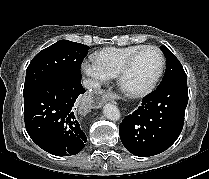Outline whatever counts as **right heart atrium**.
Instances as JSON below:
<instances>
[{
    "instance_id": "right-heart-atrium-1",
    "label": "right heart atrium",
    "mask_w": 209,
    "mask_h": 179,
    "mask_svg": "<svg viewBox=\"0 0 209 179\" xmlns=\"http://www.w3.org/2000/svg\"><path fill=\"white\" fill-rule=\"evenodd\" d=\"M84 73L93 79L96 84H101L107 81V77L97 68L94 63L84 62L82 64Z\"/></svg>"
}]
</instances>
